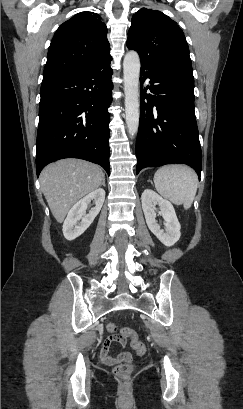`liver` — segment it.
Returning a JSON list of instances; mask_svg holds the SVG:
<instances>
[{"instance_id":"1","label":"liver","mask_w":243,"mask_h":409,"mask_svg":"<svg viewBox=\"0 0 243 409\" xmlns=\"http://www.w3.org/2000/svg\"><path fill=\"white\" fill-rule=\"evenodd\" d=\"M104 174L93 163L80 159H63L46 166L40 174L42 192L57 222H63L71 207L96 190Z\"/></svg>"}]
</instances>
